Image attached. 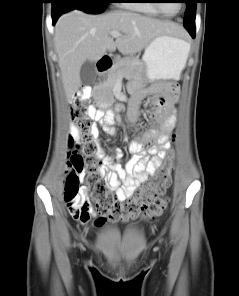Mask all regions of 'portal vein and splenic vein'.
<instances>
[{"label":"portal vein and splenic vein","mask_w":239,"mask_h":296,"mask_svg":"<svg viewBox=\"0 0 239 296\" xmlns=\"http://www.w3.org/2000/svg\"><path fill=\"white\" fill-rule=\"evenodd\" d=\"M110 35L112 36V37H120V36H122V34L120 33V32H118V31H111L110 32Z\"/></svg>","instance_id":"18ae733b"}]
</instances>
